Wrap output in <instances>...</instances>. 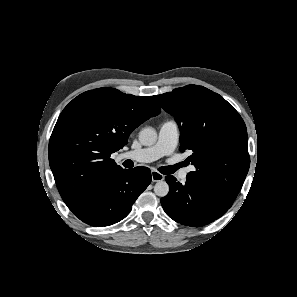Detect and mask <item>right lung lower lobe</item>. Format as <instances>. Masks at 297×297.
I'll return each mask as SVG.
<instances>
[{
  "instance_id": "98d812e1",
  "label": "right lung lower lobe",
  "mask_w": 297,
  "mask_h": 297,
  "mask_svg": "<svg viewBox=\"0 0 297 297\" xmlns=\"http://www.w3.org/2000/svg\"><path fill=\"white\" fill-rule=\"evenodd\" d=\"M150 182L151 172L147 167L123 169L94 190L81 207L72 212L91 226L112 225L129 214Z\"/></svg>"
}]
</instances>
